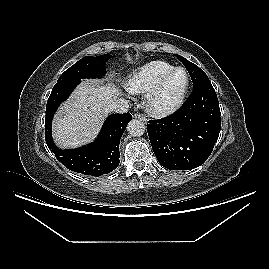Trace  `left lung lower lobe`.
Instances as JSON below:
<instances>
[{
  "instance_id": "0a47b994",
  "label": "left lung lower lobe",
  "mask_w": 269,
  "mask_h": 269,
  "mask_svg": "<svg viewBox=\"0 0 269 269\" xmlns=\"http://www.w3.org/2000/svg\"><path fill=\"white\" fill-rule=\"evenodd\" d=\"M220 129L219 102L210 81L193 87L177 112L147 125L156 158L170 170L202 165L211 154Z\"/></svg>"
}]
</instances>
